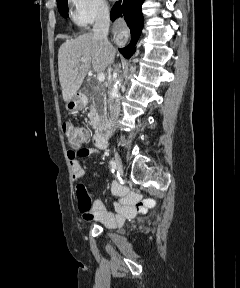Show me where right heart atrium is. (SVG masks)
I'll return each mask as SVG.
<instances>
[{"mask_svg":"<svg viewBox=\"0 0 240 288\" xmlns=\"http://www.w3.org/2000/svg\"><path fill=\"white\" fill-rule=\"evenodd\" d=\"M74 20L80 26L107 18L109 7L105 0H71Z\"/></svg>","mask_w":240,"mask_h":288,"instance_id":"1","label":"right heart atrium"}]
</instances>
